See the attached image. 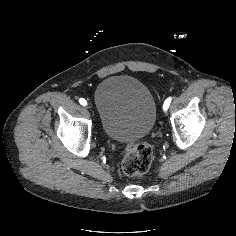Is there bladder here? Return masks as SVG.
Segmentation results:
<instances>
[{
  "instance_id": "bladder-1",
  "label": "bladder",
  "mask_w": 236,
  "mask_h": 236,
  "mask_svg": "<svg viewBox=\"0 0 236 236\" xmlns=\"http://www.w3.org/2000/svg\"><path fill=\"white\" fill-rule=\"evenodd\" d=\"M100 127L113 141L134 143L147 136L156 119V103L150 90L130 76H112L95 91Z\"/></svg>"
}]
</instances>
